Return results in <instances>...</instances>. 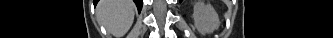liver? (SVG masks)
Instances as JSON below:
<instances>
[{"label":"liver","mask_w":333,"mask_h":38,"mask_svg":"<svg viewBox=\"0 0 333 38\" xmlns=\"http://www.w3.org/2000/svg\"><path fill=\"white\" fill-rule=\"evenodd\" d=\"M135 5L132 0H101L97 15L114 36H123L134 20Z\"/></svg>","instance_id":"obj_1"}]
</instances>
